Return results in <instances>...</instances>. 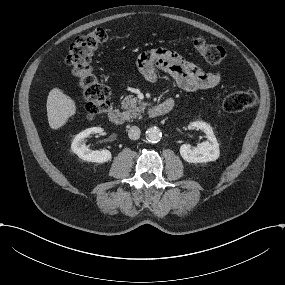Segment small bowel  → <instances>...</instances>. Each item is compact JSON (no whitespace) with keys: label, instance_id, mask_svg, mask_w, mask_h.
Returning <instances> with one entry per match:
<instances>
[{"label":"small bowel","instance_id":"small-bowel-1","mask_svg":"<svg viewBox=\"0 0 285 285\" xmlns=\"http://www.w3.org/2000/svg\"><path fill=\"white\" fill-rule=\"evenodd\" d=\"M138 68L150 82L156 81L158 71H163L187 92L214 88L222 79L219 71L207 72L176 51L165 48L143 52L138 58Z\"/></svg>","mask_w":285,"mask_h":285}]
</instances>
